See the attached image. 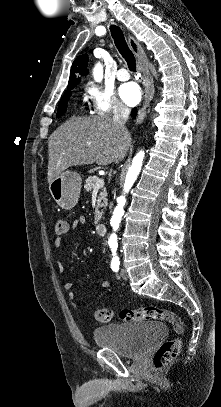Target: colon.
Here are the masks:
<instances>
[{
	"mask_svg": "<svg viewBox=\"0 0 221 407\" xmlns=\"http://www.w3.org/2000/svg\"><path fill=\"white\" fill-rule=\"evenodd\" d=\"M55 231L58 235H64L68 232V220L65 217L58 218ZM93 314L94 318L102 323L110 322L114 316V312L110 309H97ZM119 316L126 322L150 320L164 321L172 325L177 337L165 341L155 351L154 370L156 372L167 368L178 356L181 343L179 336L184 332V324L173 312L156 306H145L136 310H122Z\"/></svg>",
	"mask_w": 221,
	"mask_h": 407,
	"instance_id": "colon-1",
	"label": "colon"
}]
</instances>
